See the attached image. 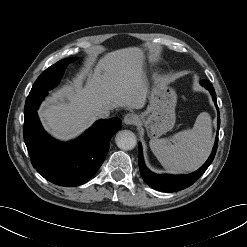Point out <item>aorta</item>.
Masks as SVG:
<instances>
[{
  "label": "aorta",
  "instance_id": "1",
  "mask_svg": "<svg viewBox=\"0 0 247 247\" xmlns=\"http://www.w3.org/2000/svg\"><path fill=\"white\" fill-rule=\"evenodd\" d=\"M115 141L117 146L122 150H132L137 144L136 136L130 130L119 131L116 134Z\"/></svg>",
  "mask_w": 247,
  "mask_h": 247
}]
</instances>
